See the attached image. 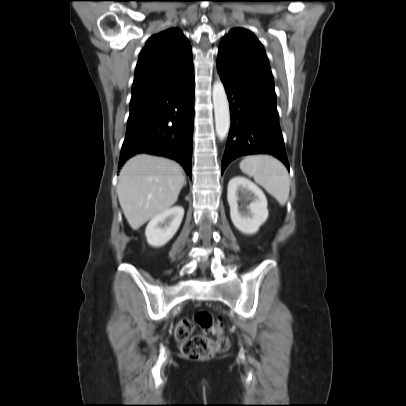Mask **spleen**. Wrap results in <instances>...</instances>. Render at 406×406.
<instances>
[{"label": "spleen", "mask_w": 406, "mask_h": 406, "mask_svg": "<svg viewBox=\"0 0 406 406\" xmlns=\"http://www.w3.org/2000/svg\"><path fill=\"white\" fill-rule=\"evenodd\" d=\"M240 169L253 176L256 183L285 205L290 192V179L285 166L269 155H251L240 162Z\"/></svg>", "instance_id": "1"}]
</instances>
